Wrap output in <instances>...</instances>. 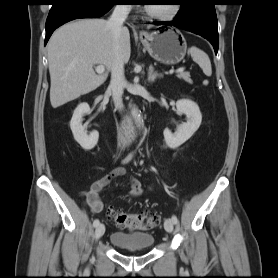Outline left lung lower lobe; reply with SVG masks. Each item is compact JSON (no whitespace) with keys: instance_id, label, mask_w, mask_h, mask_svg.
<instances>
[{"instance_id":"1","label":"left lung lower lobe","mask_w":278,"mask_h":278,"mask_svg":"<svg viewBox=\"0 0 278 278\" xmlns=\"http://www.w3.org/2000/svg\"><path fill=\"white\" fill-rule=\"evenodd\" d=\"M214 4L213 0H194L189 8L177 13L174 21L155 23L165 24L164 27L175 26L201 35L213 45L217 54L219 39Z\"/></svg>"}]
</instances>
